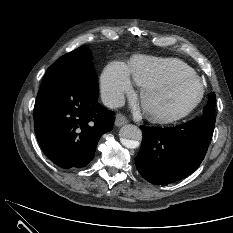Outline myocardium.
I'll return each instance as SVG.
<instances>
[{
	"instance_id": "f54148a6",
	"label": "myocardium",
	"mask_w": 233,
	"mask_h": 233,
	"mask_svg": "<svg viewBox=\"0 0 233 233\" xmlns=\"http://www.w3.org/2000/svg\"><path fill=\"white\" fill-rule=\"evenodd\" d=\"M184 80H194L199 83L201 88L198 98L187 109L177 114H169L154 109L149 105L148 97L152 92L169 87ZM205 93V84L198 75H196L195 73L182 74L142 87L140 92V105L143 113L150 121L164 125L175 124L189 117L200 106V104L204 100Z\"/></svg>"
}]
</instances>
